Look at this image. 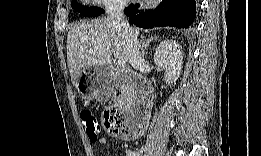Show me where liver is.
I'll list each match as a JSON object with an SVG mask.
<instances>
[{"label": "liver", "instance_id": "obj_1", "mask_svg": "<svg viewBox=\"0 0 261 156\" xmlns=\"http://www.w3.org/2000/svg\"><path fill=\"white\" fill-rule=\"evenodd\" d=\"M136 37L140 30L132 28ZM129 61L126 40L110 18L76 23L67 35V61L71 81L76 86L82 72L95 66H109L112 58Z\"/></svg>", "mask_w": 261, "mask_h": 156}]
</instances>
